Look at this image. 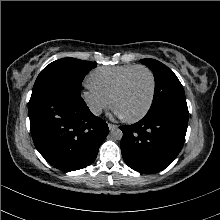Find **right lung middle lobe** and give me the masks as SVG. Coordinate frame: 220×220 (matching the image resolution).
<instances>
[{
  "mask_svg": "<svg viewBox=\"0 0 220 220\" xmlns=\"http://www.w3.org/2000/svg\"><path fill=\"white\" fill-rule=\"evenodd\" d=\"M96 64L74 58H63L47 65L38 75L32 92L43 89H61L81 96L80 89L85 75Z\"/></svg>",
  "mask_w": 220,
  "mask_h": 220,
  "instance_id": "1",
  "label": "right lung middle lobe"
}]
</instances>
